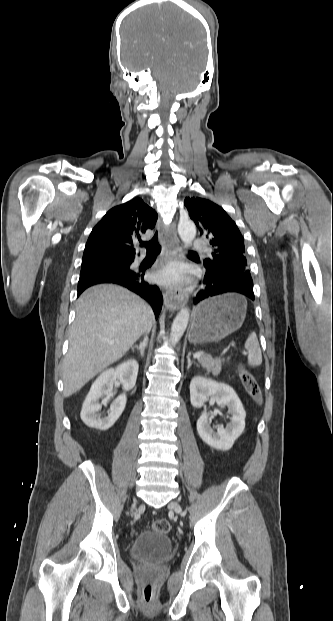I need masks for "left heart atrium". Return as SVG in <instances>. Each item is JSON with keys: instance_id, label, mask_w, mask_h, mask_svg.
Masks as SVG:
<instances>
[{"instance_id": "1", "label": "left heart atrium", "mask_w": 333, "mask_h": 621, "mask_svg": "<svg viewBox=\"0 0 333 621\" xmlns=\"http://www.w3.org/2000/svg\"><path fill=\"white\" fill-rule=\"evenodd\" d=\"M156 279L171 286H178L184 279L183 270L177 264L170 263L157 273Z\"/></svg>"}]
</instances>
